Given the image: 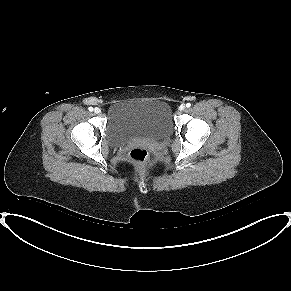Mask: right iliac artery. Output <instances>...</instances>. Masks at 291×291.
I'll return each instance as SVG.
<instances>
[{
	"label": "right iliac artery",
	"mask_w": 291,
	"mask_h": 291,
	"mask_svg": "<svg viewBox=\"0 0 291 291\" xmlns=\"http://www.w3.org/2000/svg\"><path fill=\"white\" fill-rule=\"evenodd\" d=\"M88 110H89L90 112H92V111H93V107H89Z\"/></svg>",
	"instance_id": "obj_1"
}]
</instances>
